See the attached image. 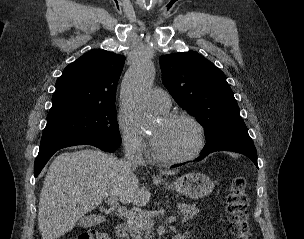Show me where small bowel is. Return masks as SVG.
<instances>
[{
    "mask_svg": "<svg viewBox=\"0 0 304 239\" xmlns=\"http://www.w3.org/2000/svg\"><path fill=\"white\" fill-rule=\"evenodd\" d=\"M183 236H184V239H186L187 238V234H182Z\"/></svg>",
    "mask_w": 304,
    "mask_h": 239,
    "instance_id": "c3829d8e",
    "label": "small bowel"
}]
</instances>
